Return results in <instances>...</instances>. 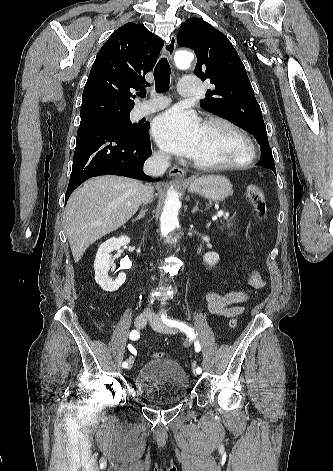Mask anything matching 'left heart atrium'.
Returning a JSON list of instances; mask_svg holds the SVG:
<instances>
[{"label": "left heart atrium", "instance_id": "39dd6f15", "mask_svg": "<svg viewBox=\"0 0 333 471\" xmlns=\"http://www.w3.org/2000/svg\"><path fill=\"white\" fill-rule=\"evenodd\" d=\"M198 117L191 111L173 108L158 116L153 123V136L166 151L193 157L201 134Z\"/></svg>", "mask_w": 333, "mask_h": 471}]
</instances>
